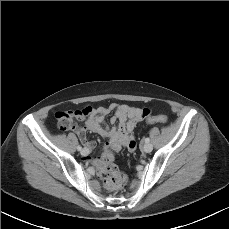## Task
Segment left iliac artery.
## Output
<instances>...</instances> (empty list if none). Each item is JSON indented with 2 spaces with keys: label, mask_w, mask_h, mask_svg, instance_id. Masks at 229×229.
Here are the masks:
<instances>
[{
  "label": "left iliac artery",
  "mask_w": 229,
  "mask_h": 229,
  "mask_svg": "<svg viewBox=\"0 0 229 229\" xmlns=\"http://www.w3.org/2000/svg\"><path fill=\"white\" fill-rule=\"evenodd\" d=\"M144 140H145L146 143H148L150 141L149 138H145Z\"/></svg>",
  "instance_id": "1"
}]
</instances>
